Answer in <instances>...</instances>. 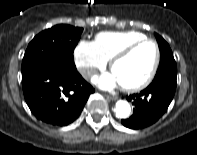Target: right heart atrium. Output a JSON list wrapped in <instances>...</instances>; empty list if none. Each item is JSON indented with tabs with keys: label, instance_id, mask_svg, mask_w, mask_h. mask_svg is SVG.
Here are the masks:
<instances>
[{
	"label": "right heart atrium",
	"instance_id": "right-heart-atrium-1",
	"mask_svg": "<svg viewBox=\"0 0 197 155\" xmlns=\"http://www.w3.org/2000/svg\"><path fill=\"white\" fill-rule=\"evenodd\" d=\"M75 64L84 78H90L95 70L103 69L108 60L94 41L80 40L74 49Z\"/></svg>",
	"mask_w": 197,
	"mask_h": 155
}]
</instances>
